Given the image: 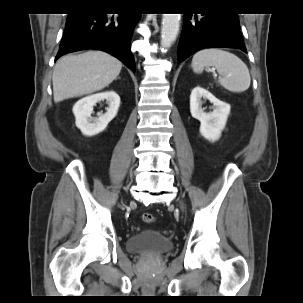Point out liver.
<instances>
[{"label":"liver","mask_w":303,"mask_h":303,"mask_svg":"<svg viewBox=\"0 0 303 303\" xmlns=\"http://www.w3.org/2000/svg\"><path fill=\"white\" fill-rule=\"evenodd\" d=\"M122 63L102 51L59 59L52 76L55 103L100 91L119 75Z\"/></svg>","instance_id":"obj_1"}]
</instances>
